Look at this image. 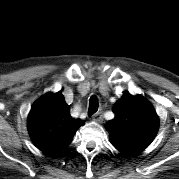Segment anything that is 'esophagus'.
Wrapping results in <instances>:
<instances>
[{
    "instance_id": "obj_1",
    "label": "esophagus",
    "mask_w": 179,
    "mask_h": 179,
    "mask_svg": "<svg viewBox=\"0 0 179 179\" xmlns=\"http://www.w3.org/2000/svg\"><path fill=\"white\" fill-rule=\"evenodd\" d=\"M92 120L96 122H101L103 120L102 113L97 112L92 116Z\"/></svg>"
}]
</instances>
